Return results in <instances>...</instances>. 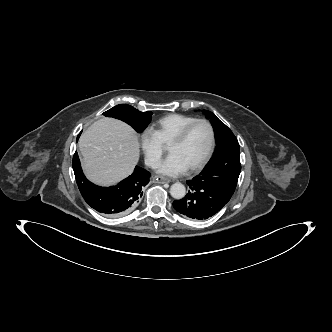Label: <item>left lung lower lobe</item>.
Wrapping results in <instances>:
<instances>
[{
	"mask_svg": "<svg viewBox=\"0 0 332 332\" xmlns=\"http://www.w3.org/2000/svg\"><path fill=\"white\" fill-rule=\"evenodd\" d=\"M201 177L196 176L187 181L190 188L188 194L183 199L173 202V207L178 213L194 220L212 217L230 200L210 188Z\"/></svg>",
	"mask_w": 332,
	"mask_h": 332,
	"instance_id": "1",
	"label": "left lung lower lobe"
}]
</instances>
